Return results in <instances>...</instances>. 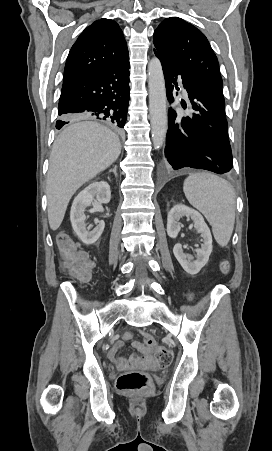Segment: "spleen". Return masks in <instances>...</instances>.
Listing matches in <instances>:
<instances>
[{
	"label": "spleen",
	"instance_id": "1",
	"mask_svg": "<svg viewBox=\"0 0 272 451\" xmlns=\"http://www.w3.org/2000/svg\"><path fill=\"white\" fill-rule=\"evenodd\" d=\"M183 192L210 226L219 245H227L235 224V194L227 180L214 174H189Z\"/></svg>",
	"mask_w": 272,
	"mask_h": 451
}]
</instances>
